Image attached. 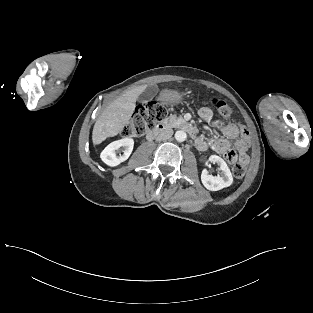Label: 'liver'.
Returning <instances> with one entry per match:
<instances>
[{
    "label": "liver",
    "instance_id": "1",
    "mask_svg": "<svg viewBox=\"0 0 313 313\" xmlns=\"http://www.w3.org/2000/svg\"><path fill=\"white\" fill-rule=\"evenodd\" d=\"M146 88L147 85H141L131 89L104 109L93 127L92 142L94 145L102 143L107 137L117 135L128 124L136 101Z\"/></svg>",
    "mask_w": 313,
    "mask_h": 313
}]
</instances>
